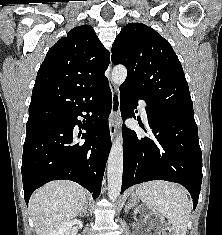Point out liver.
Masks as SVG:
<instances>
[{"mask_svg":"<svg viewBox=\"0 0 222 235\" xmlns=\"http://www.w3.org/2000/svg\"><path fill=\"white\" fill-rule=\"evenodd\" d=\"M85 201V190L71 181L49 182L36 190L29 201L36 235H50L57 226L75 218Z\"/></svg>","mask_w":222,"mask_h":235,"instance_id":"liver-1","label":"liver"}]
</instances>
